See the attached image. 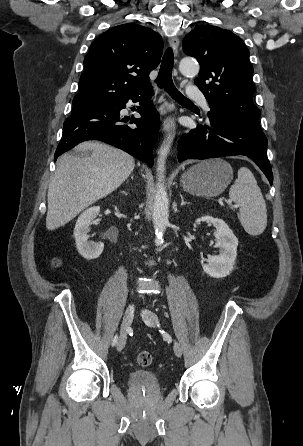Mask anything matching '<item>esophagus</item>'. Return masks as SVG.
Segmentation results:
<instances>
[{"mask_svg":"<svg viewBox=\"0 0 303 446\" xmlns=\"http://www.w3.org/2000/svg\"><path fill=\"white\" fill-rule=\"evenodd\" d=\"M179 43L180 41L177 36H173L169 39V44L174 54H176L178 51ZM174 125H175L174 118L171 116L166 117L165 120L163 121V131L165 133L171 132L174 129Z\"/></svg>","mask_w":303,"mask_h":446,"instance_id":"1","label":"esophagus"}]
</instances>
